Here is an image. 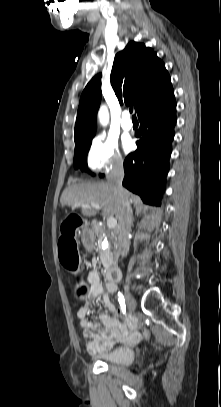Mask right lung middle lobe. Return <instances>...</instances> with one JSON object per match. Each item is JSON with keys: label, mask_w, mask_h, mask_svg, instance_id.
Segmentation results:
<instances>
[{"label": "right lung middle lobe", "mask_w": 221, "mask_h": 407, "mask_svg": "<svg viewBox=\"0 0 221 407\" xmlns=\"http://www.w3.org/2000/svg\"><path fill=\"white\" fill-rule=\"evenodd\" d=\"M92 138L75 144L74 168H80L82 171L87 170V153L91 145Z\"/></svg>", "instance_id": "obj_1"}]
</instances>
